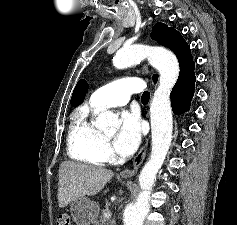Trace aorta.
Wrapping results in <instances>:
<instances>
[{"mask_svg": "<svg viewBox=\"0 0 237 225\" xmlns=\"http://www.w3.org/2000/svg\"><path fill=\"white\" fill-rule=\"evenodd\" d=\"M148 59L160 74L159 85L154 92L150 107L152 149L149 160L139 175L142 191L134 204L127 205L123 214L124 225H142L149 212L150 194L157 172L162 167L172 142L173 119L170 93L179 76L176 56L163 48L147 45H132L118 50L113 64L123 69ZM118 118L110 111L98 115L95 126L105 133L116 131Z\"/></svg>", "mask_w": 237, "mask_h": 225, "instance_id": "aorta-1", "label": "aorta"}]
</instances>
